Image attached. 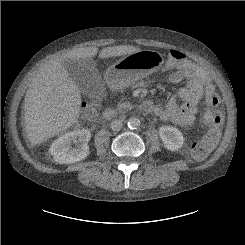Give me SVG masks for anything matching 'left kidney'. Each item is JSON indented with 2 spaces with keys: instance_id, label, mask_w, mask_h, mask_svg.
Here are the masks:
<instances>
[{
  "instance_id": "left-kidney-1",
  "label": "left kidney",
  "mask_w": 245,
  "mask_h": 245,
  "mask_svg": "<svg viewBox=\"0 0 245 245\" xmlns=\"http://www.w3.org/2000/svg\"><path fill=\"white\" fill-rule=\"evenodd\" d=\"M159 136L165 146L170 151H178L183 143L184 138L177 128L171 126H162L159 128Z\"/></svg>"
}]
</instances>
